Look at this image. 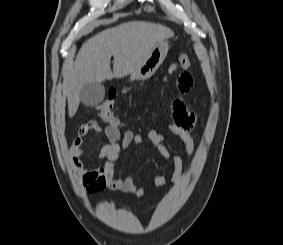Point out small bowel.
I'll return each mask as SVG.
<instances>
[{
    "label": "small bowel",
    "instance_id": "1",
    "mask_svg": "<svg viewBox=\"0 0 283 245\" xmlns=\"http://www.w3.org/2000/svg\"><path fill=\"white\" fill-rule=\"evenodd\" d=\"M176 86L181 94L187 93L193 86V78L190 73L182 72L176 81ZM172 120L169 129L184 144L186 154L191 156L195 150V134L193 130L198 121V115L189 112L180 99H175L172 103ZM98 123L94 120L84 123L69 149L72 165L81 183L86 187L88 193L97 194L104 189L132 193L142 196L145 192L144 187H137L131 175L115 178V162L120 152L129 146H136L142 143L143 137L132 130L120 133L118 126L108 124L103 128L107 142L102 146L99 158L103 164L95 169H88L82 160L84 137L91 131H100ZM148 143L156 148L161 156L170 159L172 162V173L168 178L165 175H157L153 178L155 186H164L168 182L175 185L180 182L184 175L183 162L181 157L173 156L164 144V135L156 130L149 131Z\"/></svg>",
    "mask_w": 283,
    "mask_h": 245
}]
</instances>
